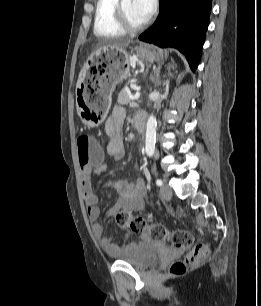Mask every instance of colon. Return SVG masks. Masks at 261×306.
<instances>
[{
    "label": "colon",
    "instance_id": "1",
    "mask_svg": "<svg viewBox=\"0 0 261 306\" xmlns=\"http://www.w3.org/2000/svg\"><path fill=\"white\" fill-rule=\"evenodd\" d=\"M78 159L82 167L97 163L102 159V147L89 134H81L77 138ZM115 220L119 227L129 229L141 235H147L157 241H170L177 249H188L193 245L194 238L190 231L169 230L161 224L151 223L142 217L133 216L127 211H116ZM208 248L198 245L192 248L182 260L175 261L170 268L174 275H181L188 268L195 267L206 260Z\"/></svg>",
    "mask_w": 261,
    "mask_h": 306
}]
</instances>
